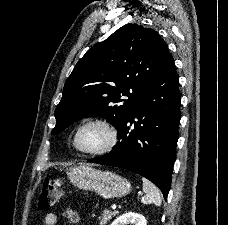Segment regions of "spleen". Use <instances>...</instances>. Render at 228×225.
Wrapping results in <instances>:
<instances>
[{
    "label": "spleen",
    "mask_w": 228,
    "mask_h": 225,
    "mask_svg": "<svg viewBox=\"0 0 228 225\" xmlns=\"http://www.w3.org/2000/svg\"><path fill=\"white\" fill-rule=\"evenodd\" d=\"M143 181V193H145L144 197L141 199V203H144V205H156V207H160L162 201H161V195L159 189L153 185V183H150V181H147V179H142Z\"/></svg>",
    "instance_id": "3e777b00"
}]
</instances>
